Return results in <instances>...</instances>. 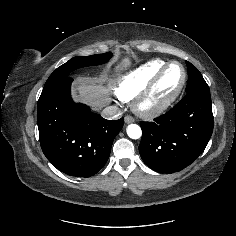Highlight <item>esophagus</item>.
Instances as JSON below:
<instances>
[{"mask_svg": "<svg viewBox=\"0 0 236 236\" xmlns=\"http://www.w3.org/2000/svg\"><path fill=\"white\" fill-rule=\"evenodd\" d=\"M124 121L126 124L134 122V118L131 116H125Z\"/></svg>", "mask_w": 236, "mask_h": 236, "instance_id": "obj_1", "label": "esophagus"}]
</instances>
